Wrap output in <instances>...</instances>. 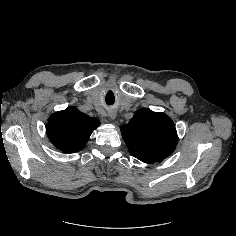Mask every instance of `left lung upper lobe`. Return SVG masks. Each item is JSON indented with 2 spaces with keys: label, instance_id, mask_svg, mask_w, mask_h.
Segmentation results:
<instances>
[{
  "label": "left lung upper lobe",
  "instance_id": "obj_1",
  "mask_svg": "<svg viewBox=\"0 0 236 236\" xmlns=\"http://www.w3.org/2000/svg\"><path fill=\"white\" fill-rule=\"evenodd\" d=\"M129 152L145 163L161 162L177 145L173 121L164 113L142 108L121 128Z\"/></svg>",
  "mask_w": 236,
  "mask_h": 236
}]
</instances>
